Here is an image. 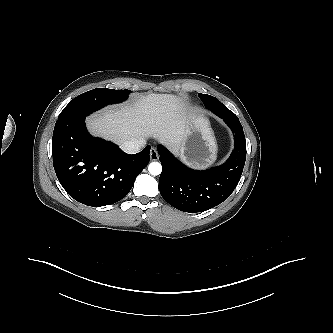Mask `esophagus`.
I'll use <instances>...</instances> for the list:
<instances>
[{
    "label": "esophagus",
    "mask_w": 333,
    "mask_h": 333,
    "mask_svg": "<svg viewBox=\"0 0 333 333\" xmlns=\"http://www.w3.org/2000/svg\"><path fill=\"white\" fill-rule=\"evenodd\" d=\"M158 158H159V154H158L157 150L155 148H151V150H150V159L152 161H156V160H158Z\"/></svg>",
    "instance_id": "obj_1"
}]
</instances>
